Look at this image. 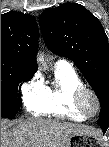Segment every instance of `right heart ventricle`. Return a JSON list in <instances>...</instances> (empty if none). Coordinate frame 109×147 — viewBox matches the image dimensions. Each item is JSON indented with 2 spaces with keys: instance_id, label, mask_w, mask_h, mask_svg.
<instances>
[{
  "instance_id": "1",
  "label": "right heart ventricle",
  "mask_w": 109,
  "mask_h": 147,
  "mask_svg": "<svg viewBox=\"0 0 109 147\" xmlns=\"http://www.w3.org/2000/svg\"><path fill=\"white\" fill-rule=\"evenodd\" d=\"M42 84L44 99L26 103L27 109L35 115H50L75 122L86 121L73 105L77 90L84 84L72 67L56 66L54 78L49 84Z\"/></svg>"
}]
</instances>
